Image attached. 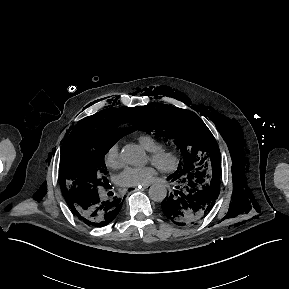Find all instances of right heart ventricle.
<instances>
[{
	"label": "right heart ventricle",
	"instance_id": "obj_1",
	"mask_svg": "<svg viewBox=\"0 0 289 289\" xmlns=\"http://www.w3.org/2000/svg\"><path fill=\"white\" fill-rule=\"evenodd\" d=\"M138 140L148 151H154L162 147V143L157 138L149 134H141L138 137Z\"/></svg>",
	"mask_w": 289,
	"mask_h": 289
}]
</instances>
